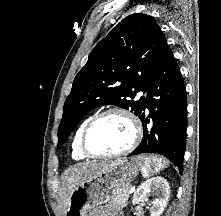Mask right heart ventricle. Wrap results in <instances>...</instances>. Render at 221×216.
<instances>
[{
    "label": "right heart ventricle",
    "mask_w": 221,
    "mask_h": 216,
    "mask_svg": "<svg viewBox=\"0 0 221 216\" xmlns=\"http://www.w3.org/2000/svg\"><path fill=\"white\" fill-rule=\"evenodd\" d=\"M92 116L93 115H90L82 121V123L80 124V126L78 127V129L74 135L73 142H72V157L74 159L86 158V155L82 152V150L80 148V136H81L83 128L85 127V125L87 124V122L90 120V118Z\"/></svg>",
    "instance_id": "1"
}]
</instances>
